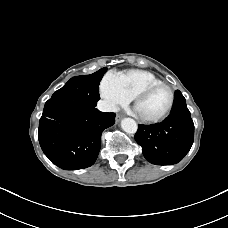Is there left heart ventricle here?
Listing matches in <instances>:
<instances>
[{"label": "left heart ventricle", "mask_w": 228, "mask_h": 228, "mask_svg": "<svg viewBox=\"0 0 228 228\" xmlns=\"http://www.w3.org/2000/svg\"><path fill=\"white\" fill-rule=\"evenodd\" d=\"M170 102V92L160 87L153 90L137 105V112L144 117H156L163 113Z\"/></svg>", "instance_id": "1"}]
</instances>
